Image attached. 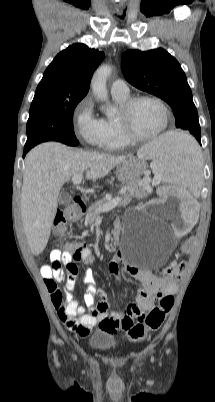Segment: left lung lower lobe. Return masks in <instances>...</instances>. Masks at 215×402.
I'll return each instance as SVG.
<instances>
[{"mask_svg":"<svg viewBox=\"0 0 215 402\" xmlns=\"http://www.w3.org/2000/svg\"><path fill=\"white\" fill-rule=\"evenodd\" d=\"M197 140H198L199 143H201V141H200L201 139H197Z\"/></svg>","mask_w":215,"mask_h":402,"instance_id":"0a47b994","label":"left lung lower lobe"}]
</instances>
